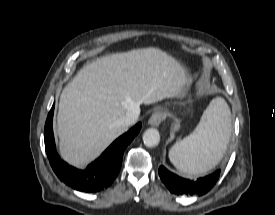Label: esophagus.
I'll list each match as a JSON object with an SVG mask.
<instances>
[{
	"instance_id": "1",
	"label": "esophagus",
	"mask_w": 275,
	"mask_h": 215,
	"mask_svg": "<svg viewBox=\"0 0 275 215\" xmlns=\"http://www.w3.org/2000/svg\"><path fill=\"white\" fill-rule=\"evenodd\" d=\"M166 118V113L161 110L157 109L150 117L148 124L154 127L160 125V123Z\"/></svg>"
}]
</instances>
